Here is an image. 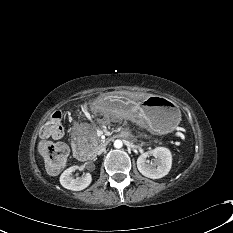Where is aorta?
I'll list each match as a JSON object with an SVG mask.
<instances>
[{"mask_svg": "<svg viewBox=\"0 0 233 233\" xmlns=\"http://www.w3.org/2000/svg\"><path fill=\"white\" fill-rule=\"evenodd\" d=\"M123 146V142L121 140H115L114 141V147L119 149Z\"/></svg>", "mask_w": 233, "mask_h": 233, "instance_id": "762f6f07", "label": "aorta"}]
</instances>
